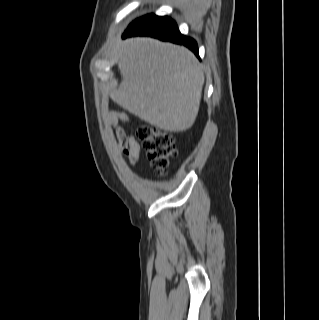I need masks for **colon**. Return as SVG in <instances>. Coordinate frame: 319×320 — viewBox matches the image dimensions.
Instances as JSON below:
<instances>
[{
    "label": "colon",
    "instance_id": "obj_1",
    "mask_svg": "<svg viewBox=\"0 0 319 320\" xmlns=\"http://www.w3.org/2000/svg\"><path fill=\"white\" fill-rule=\"evenodd\" d=\"M136 135L147 153L156 174L164 175L169 165V159L175 154V140L171 133L151 125H141Z\"/></svg>",
    "mask_w": 319,
    "mask_h": 320
}]
</instances>
